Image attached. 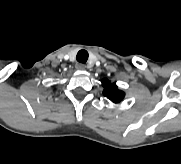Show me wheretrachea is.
<instances>
[{"mask_svg":"<svg viewBox=\"0 0 181 164\" xmlns=\"http://www.w3.org/2000/svg\"><path fill=\"white\" fill-rule=\"evenodd\" d=\"M88 52L86 50H80L77 53L76 60L82 64H85L88 60Z\"/></svg>","mask_w":181,"mask_h":164,"instance_id":"1","label":"trachea"}]
</instances>
